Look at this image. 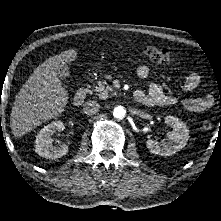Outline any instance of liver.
<instances>
[{
    "instance_id": "obj_1",
    "label": "liver",
    "mask_w": 221,
    "mask_h": 221,
    "mask_svg": "<svg viewBox=\"0 0 221 221\" xmlns=\"http://www.w3.org/2000/svg\"><path fill=\"white\" fill-rule=\"evenodd\" d=\"M76 56L77 51L70 49L48 58L34 70L12 107L10 126L15 137L24 136L64 111L69 96L58 71L61 64L74 61Z\"/></svg>"
}]
</instances>
